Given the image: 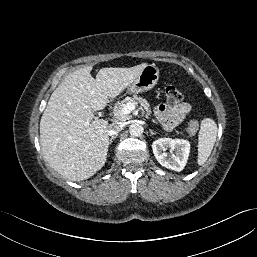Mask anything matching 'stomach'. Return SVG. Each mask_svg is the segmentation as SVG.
<instances>
[{
    "label": "stomach",
    "instance_id": "1",
    "mask_svg": "<svg viewBox=\"0 0 257 257\" xmlns=\"http://www.w3.org/2000/svg\"><path fill=\"white\" fill-rule=\"evenodd\" d=\"M159 69L155 64L147 65L139 76L127 87L129 93H142L152 89L158 82Z\"/></svg>",
    "mask_w": 257,
    "mask_h": 257
}]
</instances>
